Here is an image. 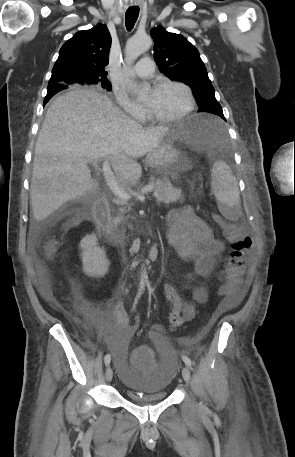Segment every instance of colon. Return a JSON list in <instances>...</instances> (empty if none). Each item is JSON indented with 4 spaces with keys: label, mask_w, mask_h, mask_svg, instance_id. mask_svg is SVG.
I'll use <instances>...</instances> for the list:
<instances>
[{
    "label": "colon",
    "mask_w": 295,
    "mask_h": 457,
    "mask_svg": "<svg viewBox=\"0 0 295 457\" xmlns=\"http://www.w3.org/2000/svg\"><path fill=\"white\" fill-rule=\"evenodd\" d=\"M223 234L229 243L230 250L225 262L222 277L227 281L223 289L225 296L232 295L240 285L246 257L252 245L251 238L245 233L241 224L221 221ZM48 251H54L50 244ZM152 346H133L131 352V372H155L156 360L152 357Z\"/></svg>",
    "instance_id": "5ec220e1"
}]
</instances>
